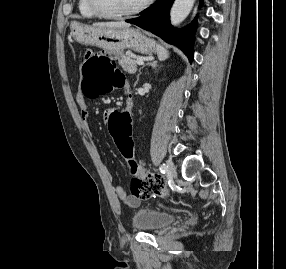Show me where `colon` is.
<instances>
[{"mask_svg": "<svg viewBox=\"0 0 286 269\" xmlns=\"http://www.w3.org/2000/svg\"><path fill=\"white\" fill-rule=\"evenodd\" d=\"M127 49L86 50L81 67V89L86 96L97 95L112 88H121L124 76L115 62L126 59ZM109 138H113V148L118 159H124L125 168L132 175L130 191L133 196L146 198L158 192L164 186L163 180L142 169V163H136V139H131L132 111L127 107L115 106L108 116Z\"/></svg>", "mask_w": 286, "mask_h": 269, "instance_id": "colon-1", "label": "colon"}]
</instances>
